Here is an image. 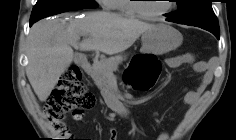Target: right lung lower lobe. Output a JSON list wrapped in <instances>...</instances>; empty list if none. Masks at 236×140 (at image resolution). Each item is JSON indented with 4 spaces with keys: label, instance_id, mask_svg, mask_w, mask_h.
Segmentation results:
<instances>
[{
    "label": "right lung lower lobe",
    "instance_id": "right-lung-lower-lobe-1",
    "mask_svg": "<svg viewBox=\"0 0 236 140\" xmlns=\"http://www.w3.org/2000/svg\"><path fill=\"white\" fill-rule=\"evenodd\" d=\"M34 22H30V26L33 24Z\"/></svg>",
    "mask_w": 236,
    "mask_h": 140
}]
</instances>
